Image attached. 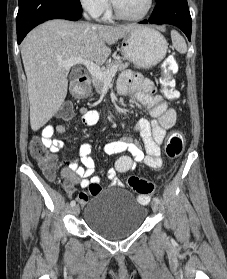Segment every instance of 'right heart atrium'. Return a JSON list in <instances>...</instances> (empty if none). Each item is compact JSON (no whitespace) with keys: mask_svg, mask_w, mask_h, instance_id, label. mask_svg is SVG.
<instances>
[{"mask_svg":"<svg viewBox=\"0 0 227 279\" xmlns=\"http://www.w3.org/2000/svg\"><path fill=\"white\" fill-rule=\"evenodd\" d=\"M80 5L91 15L98 17L109 9L108 0H78Z\"/></svg>","mask_w":227,"mask_h":279,"instance_id":"obj_1","label":"right heart atrium"}]
</instances>
